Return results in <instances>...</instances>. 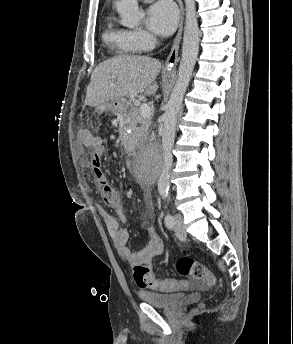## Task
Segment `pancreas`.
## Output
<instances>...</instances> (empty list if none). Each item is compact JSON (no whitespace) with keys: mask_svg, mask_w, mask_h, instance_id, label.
Masks as SVG:
<instances>
[{"mask_svg":"<svg viewBox=\"0 0 293 344\" xmlns=\"http://www.w3.org/2000/svg\"><path fill=\"white\" fill-rule=\"evenodd\" d=\"M152 117L153 115L151 114L149 118H143L140 109L134 107L128 116L127 126L133 131L138 130L142 132L141 139H146L147 130L152 123ZM137 125H140L141 127L136 128Z\"/></svg>","mask_w":293,"mask_h":344,"instance_id":"1","label":"pancreas"}]
</instances>
